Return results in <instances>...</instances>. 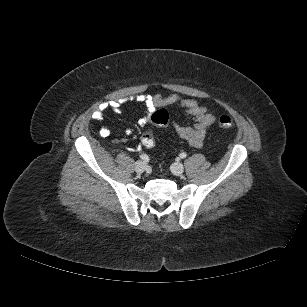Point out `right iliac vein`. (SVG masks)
<instances>
[{
  "label": "right iliac vein",
  "mask_w": 307,
  "mask_h": 307,
  "mask_svg": "<svg viewBox=\"0 0 307 307\" xmlns=\"http://www.w3.org/2000/svg\"><path fill=\"white\" fill-rule=\"evenodd\" d=\"M147 166L144 162L142 161H137L135 163V171L138 172V173H142L146 170Z\"/></svg>",
  "instance_id": "63e3f726"
}]
</instances>
